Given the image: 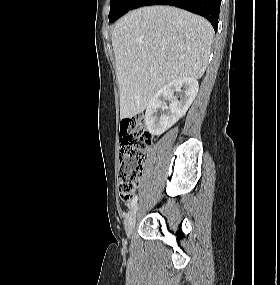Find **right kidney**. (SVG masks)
<instances>
[{
	"label": "right kidney",
	"instance_id": "ca27d5eb",
	"mask_svg": "<svg viewBox=\"0 0 280 285\" xmlns=\"http://www.w3.org/2000/svg\"><path fill=\"white\" fill-rule=\"evenodd\" d=\"M198 89V81L192 77L178 78L159 89L150 99L146 108L145 123L148 131L152 135H161L172 127L185 115L194 101ZM175 91L181 93L180 100L174 98ZM164 100L171 102L169 107L166 106ZM159 108L167 110L160 117L156 116Z\"/></svg>",
	"mask_w": 280,
	"mask_h": 285
}]
</instances>
